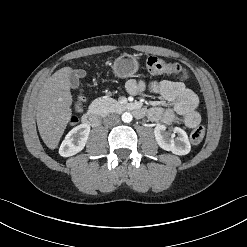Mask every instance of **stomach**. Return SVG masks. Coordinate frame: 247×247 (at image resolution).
<instances>
[{"mask_svg":"<svg viewBox=\"0 0 247 247\" xmlns=\"http://www.w3.org/2000/svg\"><path fill=\"white\" fill-rule=\"evenodd\" d=\"M139 68L137 60L130 56L117 58L112 65L113 73L119 78L133 76Z\"/></svg>","mask_w":247,"mask_h":247,"instance_id":"obj_1","label":"stomach"}]
</instances>
